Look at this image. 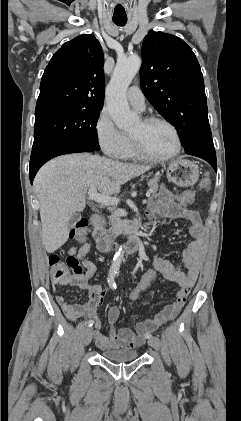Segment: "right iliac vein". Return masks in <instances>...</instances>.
I'll return each mask as SVG.
<instances>
[{
	"mask_svg": "<svg viewBox=\"0 0 241 421\" xmlns=\"http://www.w3.org/2000/svg\"><path fill=\"white\" fill-rule=\"evenodd\" d=\"M92 336H93V329L87 328L83 335V343L85 346H88L90 344L92 340Z\"/></svg>",
	"mask_w": 241,
	"mask_h": 421,
	"instance_id": "1",
	"label": "right iliac vein"
}]
</instances>
